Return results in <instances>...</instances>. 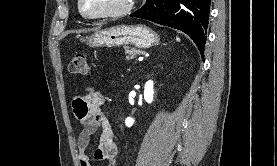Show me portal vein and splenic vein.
<instances>
[{
    "label": "portal vein and splenic vein",
    "instance_id": "portal-vein-and-splenic-vein-1",
    "mask_svg": "<svg viewBox=\"0 0 277 166\" xmlns=\"http://www.w3.org/2000/svg\"><path fill=\"white\" fill-rule=\"evenodd\" d=\"M138 60H139V61H143V57H139Z\"/></svg>",
    "mask_w": 277,
    "mask_h": 166
}]
</instances>
